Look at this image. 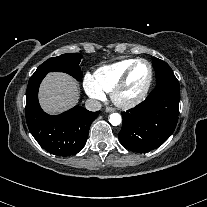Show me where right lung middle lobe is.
<instances>
[{
  "instance_id": "obj_1",
  "label": "right lung middle lobe",
  "mask_w": 207,
  "mask_h": 207,
  "mask_svg": "<svg viewBox=\"0 0 207 207\" xmlns=\"http://www.w3.org/2000/svg\"><path fill=\"white\" fill-rule=\"evenodd\" d=\"M82 55L79 53H67L58 57L49 58L41 64L33 75H38L53 71L65 72L73 76L76 80L81 81L82 72L79 67Z\"/></svg>"
}]
</instances>
